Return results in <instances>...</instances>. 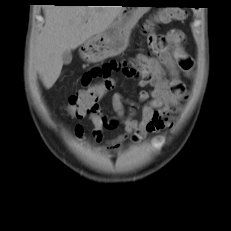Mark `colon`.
Here are the masks:
<instances>
[{
  "instance_id": "1",
  "label": "colon",
  "mask_w": 231,
  "mask_h": 231,
  "mask_svg": "<svg viewBox=\"0 0 231 231\" xmlns=\"http://www.w3.org/2000/svg\"><path fill=\"white\" fill-rule=\"evenodd\" d=\"M186 17V12L180 8H167L161 10L155 17V21L159 23H169L172 21H180ZM153 23L149 22L144 26V33L148 35V44L151 49H161L164 46L160 36L150 34ZM129 74L135 75L136 70L134 64H129ZM114 86L113 80L101 81L99 83L85 87L70 96L67 103L69 114L76 118H82L87 114L99 108L98 103L105 93Z\"/></svg>"
}]
</instances>
